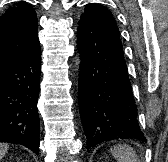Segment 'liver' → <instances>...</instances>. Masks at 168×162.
I'll list each match as a JSON object with an SVG mask.
<instances>
[{"label": "liver", "mask_w": 168, "mask_h": 162, "mask_svg": "<svg viewBox=\"0 0 168 162\" xmlns=\"http://www.w3.org/2000/svg\"><path fill=\"white\" fill-rule=\"evenodd\" d=\"M8 150V144L6 143H0V159L5 155V153Z\"/></svg>", "instance_id": "obj_1"}]
</instances>
